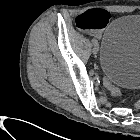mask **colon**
I'll return each instance as SVG.
<instances>
[{
    "label": "colon",
    "mask_w": 140,
    "mask_h": 140,
    "mask_svg": "<svg viewBox=\"0 0 140 140\" xmlns=\"http://www.w3.org/2000/svg\"><path fill=\"white\" fill-rule=\"evenodd\" d=\"M104 15H105V17L108 18L106 13H104ZM84 17H85V14H82L79 17H77V19H76L77 24L84 23V21H85ZM105 87L111 96H113L115 98L121 97V92H120L119 88L111 80L105 79Z\"/></svg>",
    "instance_id": "obj_1"
}]
</instances>
